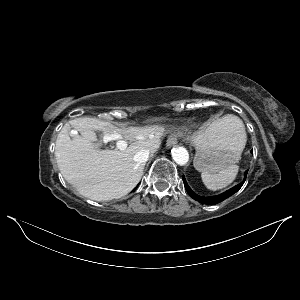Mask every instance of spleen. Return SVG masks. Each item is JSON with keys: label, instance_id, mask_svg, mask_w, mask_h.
I'll return each instance as SVG.
<instances>
[{"label": "spleen", "instance_id": "spleen-1", "mask_svg": "<svg viewBox=\"0 0 300 300\" xmlns=\"http://www.w3.org/2000/svg\"><path fill=\"white\" fill-rule=\"evenodd\" d=\"M221 123H228V122H232L233 126L236 128V133L241 136L242 140V145L243 147L246 144V132H245V126L242 122V120L234 115H227L225 117H223L220 120ZM239 170V166L238 165H231L229 167H227L226 169L220 171L217 174H212L210 172H202L201 173V177H202V181L205 184V186L213 191L225 188L226 186H228L229 184H231L238 173Z\"/></svg>", "mask_w": 300, "mask_h": 300}]
</instances>
